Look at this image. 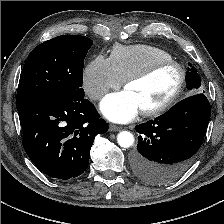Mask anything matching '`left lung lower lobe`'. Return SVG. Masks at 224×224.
I'll return each instance as SVG.
<instances>
[{
  "label": "left lung lower lobe",
  "mask_w": 224,
  "mask_h": 224,
  "mask_svg": "<svg viewBox=\"0 0 224 224\" xmlns=\"http://www.w3.org/2000/svg\"><path fill=\"white\" fill-rule=\"evenodd\" d=\"M210 114L208 99L197 93L155 120L137 125L138 152L133 155L136 177L151 185L178 179L203 143Z\"/></svg>",
  "instance_id": "1"
}]
</instances>
